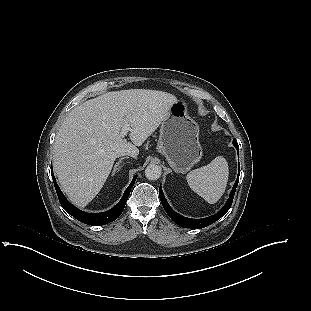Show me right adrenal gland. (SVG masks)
Wrapping results in <instances>:
<instances>
[{
  "mask_svg": "<svg viewBox=\"0 0 311 311\" xmlns=\"http://www.w3.org/2000/svg\"><path fill=\"white\" fill-rule=\"evenodd\" d=\"M126 158H127V157H122V158L119 159V161L115 164V166H114V168H113L112 174H114V172H115L116 170L119 171V169L122 167V165L120 166V164L122 163V160H123V159H126Z\"/></svg>",
  "mask_w": 311,
  "mask_h": 311,
  "instance_id": "obj_1",
  "label": "right adrenal gland"
}]
</instances>
